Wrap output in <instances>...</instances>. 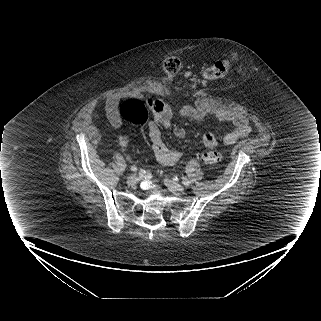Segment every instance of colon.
<instances>
[{"mask_svg":"<svg viewBox=\"0 0 321 321\" xmlns=\"http://www.w3.org/2000/svg\"><path fill=\"white\" fill-rule=\"evenodd\" d=\"M237 59L238 55L234 53L229 59L218 61L208 69H203L199 74V81L202 84H209L212 79L225 77L230 72ZM180 67V60L175 55L167 56L162 61V70L169 77L176 75L180 70ZM119 115L122 121L138 127H144L148 121V110L144 103L138 100L123 102L120 106ZM200 158L204 163L210 165H216L222 161L221 154L213 150L203 152L200 155Z\"/></svg>","mask_w":321,"mask_h":321,"instance_id":"colon-1","label":"colon"}]
</instances>
